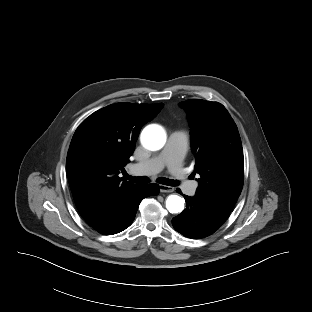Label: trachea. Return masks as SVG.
I'll use <instances>...</instances> for the list:
<instances>
[{
  "label": "trachea",
  "instance_id": "3493384b",
  "mask_svg": "<svg viewBox=\"0 0 312 312\" xmlns=\"http://www.w3.org/2000/svg\"><path fill=\"white\" fill-rule=\"evenodd\" d=\"M125 178L133 183H139V184H146L150 182V179L148 177L145 176H138V177H132L128 174L125 175ZM157 182L163 185H167V186H177L178 185V181L176 180H171L168 178H158Z\"/></svg>",
  "mask_w": 312,
  "mask_h": 312
}]
</instances>
